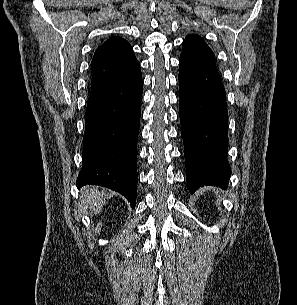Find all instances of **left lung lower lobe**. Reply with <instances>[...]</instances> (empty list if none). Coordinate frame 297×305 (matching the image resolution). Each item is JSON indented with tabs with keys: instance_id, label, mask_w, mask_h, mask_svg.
<instances>
[{
	"instance_id": "0a47b994",
	"label": "left lung lower lobe",
	"mask_w": 297,
	"mask_h": 305,
	"mask_svg": "<svg viewBox=\"0 0 297 305\" xmlns=\"http://www.w3.org/2000/svg\"><path fill=\"white\" fill-rule=\"evenodd\" d=\"M179 113L184 143L187 186L226 188L228 114L226 93L216 68H179Z\"/></svg>"
}]
</instances>
